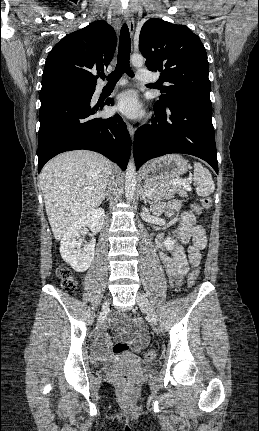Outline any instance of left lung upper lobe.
Here are the masks:
<instances>
[{
  "label": "left lung upper lobe",
  "mask_w": 259,
  "mask_h": 431,
  "mask_svg": "<svg viewBox=\"0 0 259 431\" xmlns=\"http://www.w3.org/2000/svg\"><path fill=\"white\" fill-rule=\"evenodd\" d=\"M139 50L146 58L147 68L161 72L162 81L171 84L161 88L157 102L176 97L210 101L206 50L187 26L152 18L141 28Z\"/></svg>",
  "instance_id": "1"
}]
</instances>
